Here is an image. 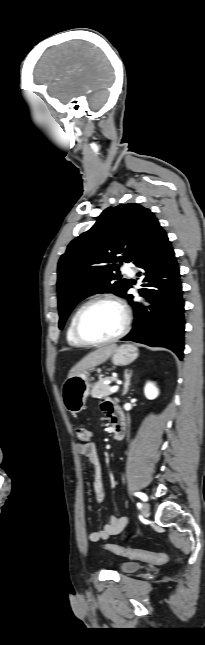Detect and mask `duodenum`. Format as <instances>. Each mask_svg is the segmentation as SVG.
<instances>
[{
    "instance_id": "1",
    "label": "duodenum",
    "mask_w": 205,
    "mask_h": 645,
    "mask_svg": "<svg viewBox=\"0 0 205 645\" xmlns=\"http://www.w3.org/2000/svg\"><path fill=\"white\" fill-rule=\"evenodd\" d=\"M113 436L115 440H121L125 433V419L122 411L118 406L113 411V416L111 420Z\"/></svg>"
}]
</instances>
